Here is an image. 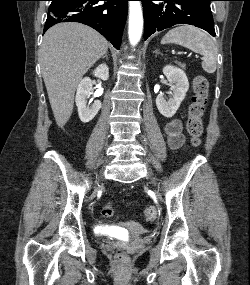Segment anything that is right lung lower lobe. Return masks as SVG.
I'll use <instances>...</instances> for the list:
<instances>
[{
	"mask_svg": "<svg viewBox=\"0 0 250 285\" xmlns=\"http://www.w3.org/2000/svg\"><path fill=\"white\" fill-rule=\"evenodd\" d=\"M54 0L44 32L58 22H80L100 32L119 50L127 16L128 0Z\"/></svg>",
	"mask_w": 250,
	"mask_h": 285,
	"instance_id": "1",
	"label": "right lung lower lobe"
}]
</instances>
